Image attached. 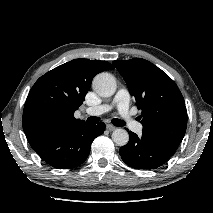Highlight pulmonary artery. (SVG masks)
I'll list each match as a JSON object with an SVG mask.
<instances>
[{
    "mask_svg": "<svg viewBox=\"0 0 213 213\" xmlns=\"http://www.w3.org/2000/svg\"><path fill=\"white\" fill-rule=\"evenodd\" d=\"M129 101V92L122 88L117 92L111 104H102L96 107L87 108L86 113L91 116H98L116 107L126 125L135 133L140 134L143 130V126L131 117L129 112Z\"/></svg>",
    "mask_w": 213,
    "mask_h": 213,
    "instance_id": "e3ab8cb5",
    "label": "pulmonary artery"
}]
</instances>
